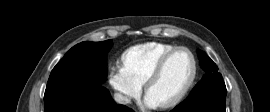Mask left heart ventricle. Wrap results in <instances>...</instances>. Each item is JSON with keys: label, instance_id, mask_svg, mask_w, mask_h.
Instances as JSON below:
<instances>
[{"label": "left heart ventricle", "instance_id": "obj_1", "mask_svg": "<svg viewBox=\"0 0 270 112\" xmlns=\"http://www.w3.org/2000/svg\"><path fill=\"white\" fill-rule=\"evenodd\" d=\"M192 73V61L188 53L177 52L167 62L159 78L149 87L147 94L160 104L178 95Z\"/></svg>", "mask_w": 270, "mask_h": 112}]
</instances>
